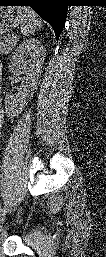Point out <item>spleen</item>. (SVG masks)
I'll use <instances>...</instances> for the list:
<instances>
[{
  "mask_svg": "<svg viewBox=\"0 0 106 257\" xmlns=\"http://www.w3.org/2000/svg\"><path fill=\"white\" fill-rule=\"evenodd\" d=\"M17 13L21 20V32L24 36H30L41 27L42 21L30 7H18Z\"/></svg>",
  "mask_w": 106,
  "mask_h": 257,
  "instance_id": "spleen-1",
  "label": "spleen"
}]
</instances>
